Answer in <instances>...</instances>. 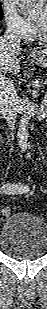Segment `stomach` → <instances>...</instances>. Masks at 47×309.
Segmentation results:
<instances>
[{
    "label": "stomach",
    "instance_id": "stomach-1",
    "mask_svg": "<svg viewBox=\"0 0 47 309\" xmlns=\"http://www.w3.org/2000/svg\"><path fill=\"white\" fill-rule=\"evenodd\" d=\"M31 61H33L37 65L47 67V48L36 51L31 56Z\"/></svg>",
    "mask_w": 47,
    "mask_h": 309
}]
</instances>
